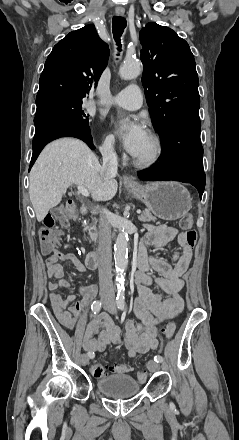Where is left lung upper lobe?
Returning <instances> with one entry per match:
<instances>
[{
  "mask_svg": "<svg viewBox=\"0 0 239 440\" xmlns=\"http://www.w3.org/2000/svg\"><path fill=\"white\" fill-rule=\"evenodd\" d=\"M139 36L142 84L159 135L175 121L199 119L198 75L188 43L172 29L153 22Z\"/></svg>",
  "mask_w": 239,
  "mask_h": 440,
  "instance_id": "left-lung-upper-lobe-1",
  "label": "left lung upper lobe"
}]
</instances>
